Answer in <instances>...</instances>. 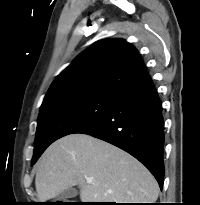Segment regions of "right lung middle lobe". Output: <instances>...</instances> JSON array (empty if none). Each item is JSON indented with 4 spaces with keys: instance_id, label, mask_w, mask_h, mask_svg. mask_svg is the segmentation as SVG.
I'll return each instance as SVG.
<instances>
[{
    "instance_id": "dd1d6c3e",
    "label": "right lung middle lobe",
    "mask_w": 200,
    "mask_h": 205,
    "mask_svg": "<svg viewBox=\"0 0 200 205\" xmlns=\"http://www.w3.org/2000/svg\"><path fill=\"white\" fill-rule=\"evenodd\" d=\"M114 100V98L101 96H77L41 109L32 165L52 142L96 120L112 105Z\"/></svg>"
}]
</instances>
